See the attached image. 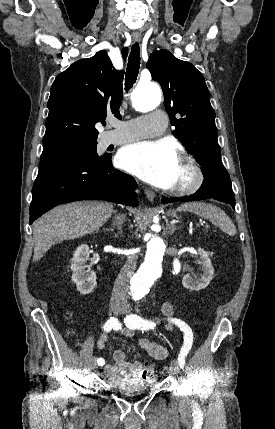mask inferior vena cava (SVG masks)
I'll return each instance as SVG.
<instances>
[{"mask_svg":"<svg viewBox=\"0 0 275 429\" xmlns=\"http://www.w3.org/2000/svg\"><path fill=\"white\" fill-rule=\"evenodd\" d=\"M136 268V257L130 256L115 280L111 302L126 304L129 292V280Z\"/></svg>","mask_w":275,"mask_h":429,"instance_id":"inferior-vena-cava-1","label":"inferior vena cava"}]
</instances>
